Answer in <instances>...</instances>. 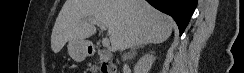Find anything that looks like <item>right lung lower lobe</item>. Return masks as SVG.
Returning a JSON list of instances; mask_svg holds the SVG:
<instances>
[{
	"label": "right lung lower lobe",
	"mask_w": 244,
	"mask_h": 73,
	"mask_svg": "<svg viewBox=\"0 0 244 73\" xmlns=\"http://www.w3.org/2000/svg\"><path fill=\"white\" fill-rule=\"evenodd\" d=\"M156 9L170 15L176 21L180 35L193 14L197 0H146Z\"/></svg>",
	"instance_id": "98d812e1"
}]
</instances>
